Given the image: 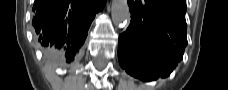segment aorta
Wrapping results in <instances>:
<instances>
[{"label": "aorta", "mask_w": 228, "mask_h": 90, "mask_svg": "<svg viewBox=\"0 0 228 90\" xmlns=\"http://www.w3.org/2000/svg\"><path fill=\"white\" fill-rule=\"evenodd\" d=\"M111 14L114 25L124 27L130 20L127 0H112Z\"/></svg>", "instance_id": "obj_1"}]
</instances>
